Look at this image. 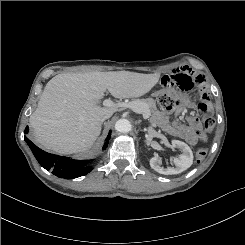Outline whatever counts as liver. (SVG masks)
Returning a JSON list of instances; mask_svg holds the SVG:
<instances>
[{"label": "liver", "mask_w": 245, "mask_h": 245, "mask_svg": "<svg viewBox=\"0 0 245 245\" xmlns=\"http://www.w3.org/2000/svg\"><path fill=\"white\" fill-rule=\"evenodd\" d=\"M160 73L129 71L64 73L45 86L38 107L30 116L34 138L44 148L61 154L89 150L101 132L102 117L118 110V104L99 105L108 90L118 99L148 93Z\"/></svg>", "instance_id": "liver-1"}]
</instances>
